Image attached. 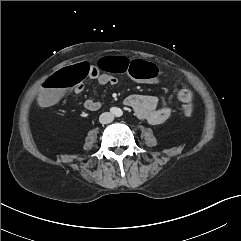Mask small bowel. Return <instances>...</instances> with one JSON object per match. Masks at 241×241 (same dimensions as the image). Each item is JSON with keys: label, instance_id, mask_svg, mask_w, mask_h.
<instances>
[{"label": "small bowel", "instance_id": "c3829d8e", "mask_svg": "<svg viewBox=\"0 0 241 241\" xmlns=\"http://www.w3.org/2000/svg\"><path fill=\"white\" fill-rule=\"evenodd\" d=\"M90 66L91 73L88 77L95 79L100 85L115 86L118 83V78L116 76L102 72L97 65ZM83 90L84 86L80 82L75 87L74 92L80 94ZM180 92H187L189 94L188 101L190 102L192 100L193 94L191 90L184 88L181 89ZM180 100L183 102L181 98ZM124 103L126 106L131 107L134 110L138 118L145 120L152 125L164 123L171 115V109L169 107H161L159 98L153 95L131 94L126 97ZM101 106L102 102L99 100L87 99L84 102V107L89 111H96L100 109Z\"/></svg>", "mask_w": 241, "mask_h": 241}]
</instances>
